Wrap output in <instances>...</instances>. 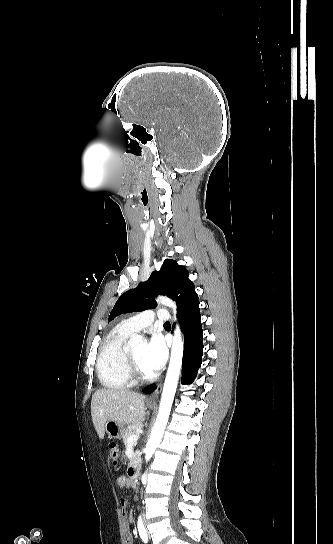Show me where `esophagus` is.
<instances>
[{
    "label": "esophagus",
    "instance_id": "esophagus-1",
    "mask_svg": "<svg viewBox=\"0 0 333 544\" xmlns=\"http://www.w3.org/2000/svg\"><path fill=\"white\" fill-rule=\"evenodd\" d=\"M161 389H162V382H159V383H157L154 391L152 392V394L148 398V403H150V404H155L156 403L158 395L161 392Z\"/></svg>",
    "mask_w": 333,
    "mask_h": 544
}]
</instances>
